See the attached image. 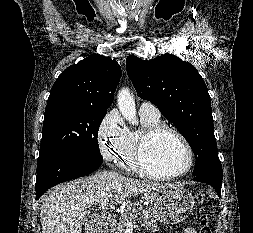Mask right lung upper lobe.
Masks as SVG:
<instances>
[{
	"label": "right lung upper lobe",
	"mask_w": 253,
	"mask_h": 233,
	"mask_svg": "<svg viewBox=\"0 0 253 233\" xmlns=\"http://www.w3.org/2000/svg\"><path fill=\"white\" fill-rule=\"evenodd\" d=\"M121 75L116 61L101 55L87 57L59 75L47 106L81 105L107 110Z\"/></svg>",
	"instance_id": "cb5924a9"
}]
</instances>
